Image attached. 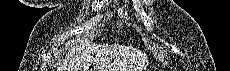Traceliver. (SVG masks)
Returning <instances> with one entry per match:
<instances>
[{"label":"liver","mask_w":230,"mask_h":71,"mask_svg":"<svg viewBox=\"0 0 230 71\" xmlns=\"http://www.w3.org/2000/svg\"><path fill=\"white\" fill-rule=\"evenodd\" d=\"M138 71L146 68L148 60L140 51L107 44L81 42L68 49L59 71Z\"/></svg>","instance_id":"liver-1"}]
</instances>
